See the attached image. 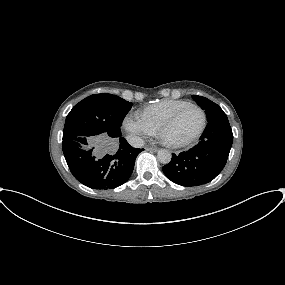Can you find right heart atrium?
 Segmentation results:
<instances>
[{
  "instance_id": "obj_1",
  "label": "right heart atrium",
  "mask_w": 285,
  "mask_h": 285,
  "mask_svg": "<svg viewBox=\"0 0 285 285\" xmlns=\"http://www.w3.org/2000/svg\"><path fill=\"white\" fill-rule=\"evenodd\" d=\"M123 124L131 140L136 144H140L144 137L152 136L155 132L139 116L128 115L125 117Z\"/></svg>"
}]
</instances>
